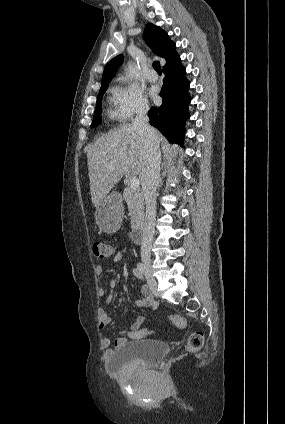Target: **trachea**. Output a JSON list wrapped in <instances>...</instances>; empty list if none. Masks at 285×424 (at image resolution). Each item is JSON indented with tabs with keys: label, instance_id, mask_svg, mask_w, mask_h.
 Instances as JSON below:
<instances>
[{
	"label": "trachea",
	"instance_id": "obj_1",
	"mask_svg": "<svg viewBox=\"0 0 285 424\" xmlns=\"http://www.w3.org/2000/svg\"><path fill=\"white\" fill-rule=\"evenodd\" d=\"M153 68L156 70V72L158 74H162V69H161V66H160V62L154 61L153 62Z\"/></svg>",
	"mask_w": 285,
	"mask_h": 424
}]
</instances>
